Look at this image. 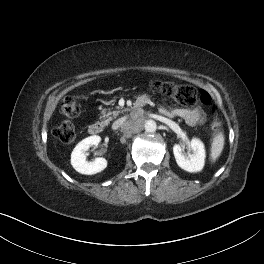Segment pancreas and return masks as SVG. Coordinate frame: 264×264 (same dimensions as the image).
Here are the masks:
<instances>
[{"label":"pancreas","mask_w":264,"mask_h":264,"mask_svg":"<svg viewBox=\"0 0 264 264\" xmlns=\"http://www.w3.org/2000/svg\"><path fill=\"white\" fill-rule=\"evenodd\" d=\"M124 110H120L118 107V110L114 111H108L107 109H103L101 114L102 116L100 118L104 119V123L108 124L112 118H116L120 113H123Z\"/></svg>","instance_id":"1"}]
</instances>
